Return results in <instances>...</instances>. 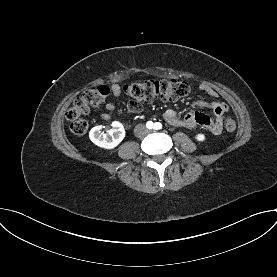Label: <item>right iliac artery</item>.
Masks as SVG:
<instances>
[{
	"mask_svg": "<svg viewBox=\"0 0 277 277\" xmlns=\"http://www.w3.org/2000/svg\"><path fill=\"white\" fill-rule=\"evenodd\" d=\"M152 126H153V123L151 121L147 122V127L148 128H152Z\"/></svg>",
	"mask_w": 277,
	"mask_h": 277,
	"instance_id": "82829eb1",
	"label": "right iliac artery"
}]
</instances>
